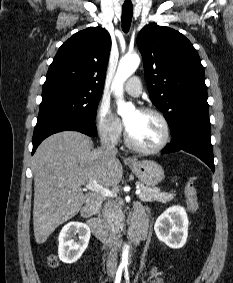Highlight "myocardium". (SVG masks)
Listing matches in <instances>:
<instances>
[{"label":"myocardium","instance_id":"f54148a6","mask_svg":"<svg viewBox=\"0 0 233 283\" xmlns=\"http://www.w3.org/2000/svg\"><path fill=\"white\" fill-rule=\"evenodd\" d=\"M139 111L143 112V113L155 115L161 121L163 128H164L163 139L158 145H156L154 147H144V146L139 145L138 143H136L133 140V138L131 137V135H130L127 127H126V129H125L126 143L128 144L129 147H131L132 149H134L135 151L140 152V153L154 154V153H158V152L162 151L168 145V143L170 141V137H171V129H170V125H169L167 118L164 116V114L162 112H160L159 110H157L155 108L144 107V108H141Z\"/></svg>","mask_w":233,"mask_h":283}]
</instances>
